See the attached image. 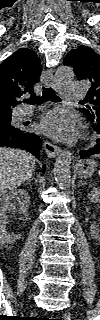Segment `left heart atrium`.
<instances>
[{"mask_svg": "<svg viewBox=\"0 0 100 320\" xmlns=\"http://www.w3.org/2000/svg\"><path fill=\"white\" fill-rule=\"evenodd\" d=\"M39 130L54 139L71 142L79 134V123L70 112L54 109L41 119Z\"/></svg>", "mask_w": 100, "mask_h": 320, "instance_id": "39dd6f15", "label": "left heart atrium"}]
</instances>
